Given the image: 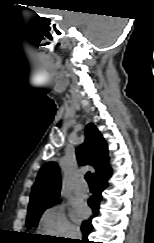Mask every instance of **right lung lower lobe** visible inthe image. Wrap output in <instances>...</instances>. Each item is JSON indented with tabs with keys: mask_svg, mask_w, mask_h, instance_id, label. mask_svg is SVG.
Segmentation results:
<instances>
[{
	"mask_svg": "<svg viewBox=\"0 0 154 243\" xmlns=\"http://www.w3.org/2000/svg\"><path fill=\"white\" fill-rule=\"evenodd\" d=\"M112 174L111 169L97 177L94 178V183H95V190L93 195L90 197L88 203L89 206L91 207L94 215L83 222L81 226V231L83 234V240L79 241H66V240H61V239H51L49 240V243H89L88 241V235L92 231V218L98 214L99 211V205L100 201L102 200V191L107 187L108 185V179L110 178Z\"/></svg>",
	"mask_w": 154,
	"mask_h": 243,
	"instance_id": "98d812e1",
	"label": "right lung lower lobe"
}]
</instances>
